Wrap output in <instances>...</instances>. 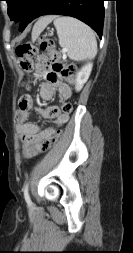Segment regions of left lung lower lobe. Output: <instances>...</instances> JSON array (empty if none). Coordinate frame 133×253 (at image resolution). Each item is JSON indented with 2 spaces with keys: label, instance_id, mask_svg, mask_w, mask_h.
Wrapping results in <instances>:
<instances>
[{
  "label": "left lung lower lobe",
  "instance_id": "1",
  "mask_svg": "<svg viewBox=\"0 0 133 253\" xmlns=\"http://www.w3.org/2000/svg\"><path fill=\"white\" fill-rule=\"evenodd\" d=\"M105 0H30L20 20L19 30L25 27L35 18L59 14L75 17L88 24L101 37L104 23Z\"/></svg>",
  "mask_w": 133,
  "mask_h": 253
}]
</instances>
